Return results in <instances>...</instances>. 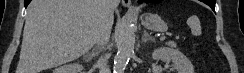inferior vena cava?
I'll list each match as a JSON object with an SVG mask.
<instances>
[{
	"label": "inferior vena cava",
	"instance_id": "inferior-vena-cava-1",
	"mask_svg": "<svg viewBox=\"0 0 244 73\" xmlns=\"http://www.w3.org/2000/svg\"><path fill=\"white\" fill-rule=\"evenodd\" d=\"M119 0H100L99 28L96 37L98 47L104 48L108 43L112 27L113 12ZM100 73H110L107 61L101 58L97 63Z\"/></svg>",
	"mask_w": 244,
	"mask_h": 73
}]
</instances>
